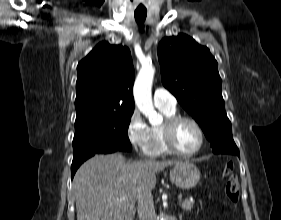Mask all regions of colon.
I'll list each match as a JSON object with an SVG mask.
<instances>
[{
	"label": "colon",
	"mask_w": 281,
	"mask_h": 220,
	"mask_svg": "<svg viewBox=\"0 0 281 220\" xmlns=\"http://www.w3.org/2000/svg\"><path fill=\"white\" fill-rule=\"evenodd\" d=\"M235 166L228 162L223 168V176L226 178L225 194L230 203L236 206L239 201L240 186L237 176L234 173Z\"/></svg>",
	"instance_id": "5ec220e1"
}]
</instances>
